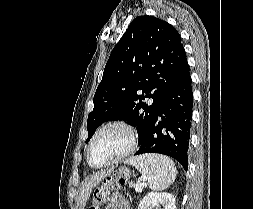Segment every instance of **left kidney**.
<instances>
[{
	"mask_svg": "<svg viewBox=\"0 0 253 209\" xmlns=\"http://www.w3.org/2000/svg\"><path fill=\"white\" fill-rule=\"evenodd\" d=\"M152 206L159 209H176L175 198L167 192H150L140 201L138 209H151Z\"/></svg>",
	"mask_w": 253,
	"mask_h": 209,
	"instance_id": "5707ae66",
	"label": "left kidney"
}]
</instances>
